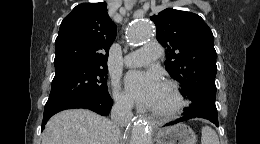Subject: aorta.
I'll return each instance as SVG.
<instances>
[{
    "label": "aorta",
    "mask_w": 260,
    "mask_h": 144,
    "mask_svg": "<svg viewBox=\"0 0 260 144\" xmlns=\"http://www.w3.org/2000/svg\"><path fill=\"white\" fill-rule=\"evenodd\" d=\"M152 37V25L146 20L134 22L128 31L130 44H140ZM130 144H152L147 122L137 119L131 127Z\"/></svg>",
    "instance_id": "1"
}]
</instances>
